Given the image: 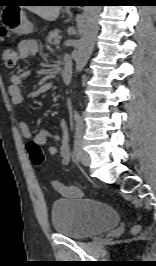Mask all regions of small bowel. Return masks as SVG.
Returning a JSON list of instances; mask_svg holds the SVG:
<instances>
[{"mask_svg": "<svg viewBox=\"0 0 156 266\" xmlns=\"http://www.w3.org/2000/svg\"><path fill=\"white\" fill-rule=\"evenodd\" d=\"M38 46L35 41L30 39L22 40L18 44V54L21 59L36 55ZM29 75L28 72H22L20 74L13 75L10 79V85L8 88L9 95L11 97L12 104L21 105L24 101L21 83ZM19 129L21 134L26 139H32L34 143L41 146L49 141L60 142L59 155L62 164H67L71 158V151L69 145V132L68 124L65 120L60 122L61 133H52L48 130L42 129L33 134L29 128V125L25 121L19 122ZM58 149L55 146L49 148V153L55 155ZM54 188L63 196L68 198H80L83 196L82 191L76 186H66L60 182H53Z\"/></svg>", "mask_w": 156, "mask_h": 266, "instance_id": "1", "label": "small bowel"}]
</instances>
